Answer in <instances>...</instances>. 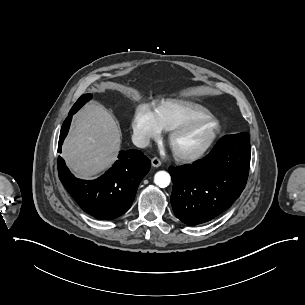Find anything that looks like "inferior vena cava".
I'll return each mask as SVG.
<instances>
[{
  "label": "inferior vena cava",
  "mask_w": 305,
  "mask_h": 305,
  "mask_svg": "<svg viewBox=\"0 0 305 305\" xmlns=\"http://www.w3.org/2000/svg\"><path fill=\"white\" fill-rule=\"evenodd\" d=\"M132 142L139 148H145L149 145L150 139L145 134L139 131H134V134L132 135Z\"/></svg>",
  "instance_id": "1"
}]
</instances>
